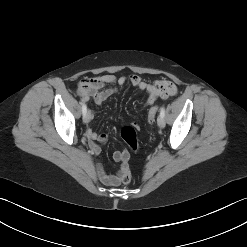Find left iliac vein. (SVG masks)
I'll return each mask as SVG.
<instances>
[{
    "mask_svg": "<svg viewBox=\"0 0 247 247\" xmlns=\"http://www.w3.org/2000/svg\"><path fill=\"white\" fill-rule=\"evenodd\" d=\"M157 123H158V126L160 128H164L165 127V119H164V117L159 116L158 117V120H157Z\"/></svg>",
    "mask_w": 247,
    "mask_h": 247,
    "instance_id": "left-iliac-vein-1",
    "label": "left iliac vein"
}]
</instances>
